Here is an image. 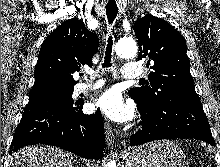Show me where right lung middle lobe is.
Masks as SVG:
<instances>
[{
  "label": "right lung middle lobe",
  "instance_id": "obj_1",
  "mask_svg": "<svg viewBox=\"0 0 220 167\" xmlns=\"http://www.w3.org/2000/svg\"><path fill=\"white\" fill-rule=\"evenodd\" d=\"M72 93H73V90H68V91H64V92L54 94L53 96L54 97H64V98H71L72 99Z\"/></svg>",
  "mask_w": 220,
  "mask_h": 167
}]
</instances>
